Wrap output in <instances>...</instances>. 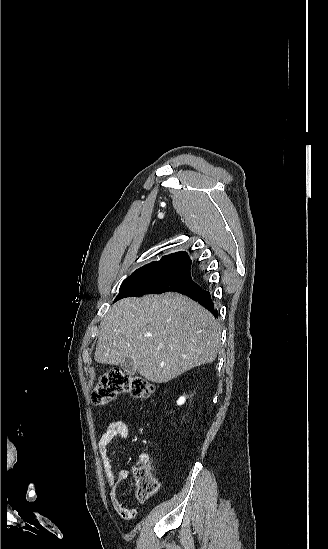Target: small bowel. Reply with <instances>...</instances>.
<instances>
[{
    "instance_id": "1",
    "label": "small bowel",
    "mask_w": 328,
    "mask_h": 549,
    "mask_svg": "<svg viewBox=\"0 0 328 549\" xmlns=\"http://www.w3.org/2000/svg\"><path fill=\"white\" fill-rule=\"evenodd\" d=\"M130 436V427L128 423L120 418L112 420L104 433L102 434L99 443L98 450L103 465V470L107 483L110 487V500L114 510L123 518H128V513H134L132 510L126 508L119 499V491L129 476L128 470H121L115 477L113 474V465L110 454V445L115 440H124ZM138 462L142 465L151 475L159 472L158 465L154 462L152 457L147 453L139 455ZM153 486L150 495L155 493L159 488V483L152 477Z\"/></svg>"
}]
</instances>
